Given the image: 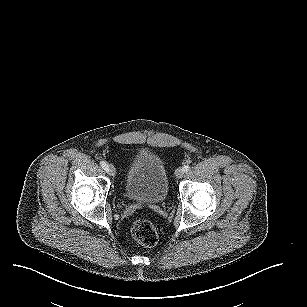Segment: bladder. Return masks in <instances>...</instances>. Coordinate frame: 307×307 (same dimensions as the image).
Instances as JSON below:
<instances>
[{
	"label": "bladder",
	"mask_w": 307,
	"mask_h": 307,
	"mask_svg": "<svg viewBox=\"0 0 307 307\" xmlns=\"http://www.w3.org/2000/svg\"><path fill=\"white\" fill-rule=\"evenodd\" d=\"M126 195L136 202L162 203L167 196V171L161 157L154 152L134 154L124 183Z\"/></svg>",
	"instance_id": "31cf9c89"
}]
</instances>
